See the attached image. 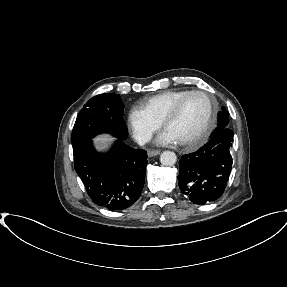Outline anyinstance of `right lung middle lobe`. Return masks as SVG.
Instances as JSON below:
<instances>
[{
  "mask_svg": "<svg viewBox=\"0 0 287 287\" xmlns=\"http://www.w3.org/2000/svg\"><path fill=\"white\" fill-rule=\"evenodd\" d=\"M123 109L124 105L118 94L105 93L91 98L75 121L71 135L73 150L101 133L126 139L128 129L123 119Z\"/></svg>",
  "mask_w": 287,
  "mask_h": 287,
  "instance_id": "dd1d6c3e",
  "label": "right lung middle lobe"
}]
</instances>
